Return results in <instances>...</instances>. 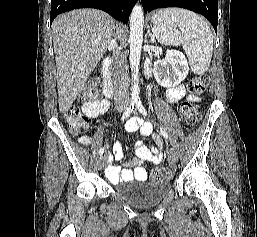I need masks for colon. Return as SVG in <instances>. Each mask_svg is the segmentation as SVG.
<instances>
[{"label": "colon", "mask_w": 257, "mask_h": 237, "mask_svg": "<svg viewBox=\"0 0 257 237\" xmlns=\"http://www.w3.org/2000/svg\"><path fill=\"white\" fill-rule=\"evenodd\" d=\"M209 78L207 75H198L192 78L189 82L188 88L191 92L202 94L207 90ZM98 95L97 86L95 82L89 83L82 91L81 98L83 100L95 99ZM181 113L185 123L193 127L201 119V113L194 103L185 102L181 106ZM65 118L69 123L72 133L77 134L89 127V120L83 116L77 106H71L65 113ZM171 177V171L166 167L157 168L151 173L152 181L168 180Z\"/></svg>", "instance_id": "1"}]
</instances>
